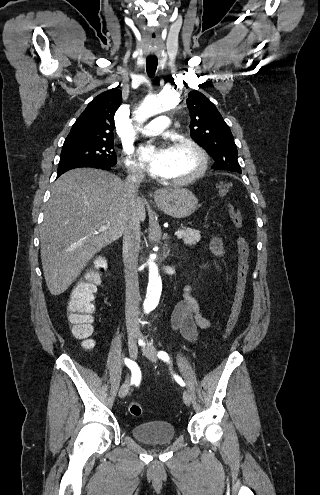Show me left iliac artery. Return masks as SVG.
I'll return each mask as SVG.
<instances>
[{"mask_svg": "<svg viewBox=\"0 0 320 495\" xmlns=\"http://www.w3.org/2000/svg\"><path fill=\"white\" fill-rule=\"evenodd\" d=\"M158 357L160 359H162L163 361L165 362H169L170 361V358H169V355L165 352V351H159L158 352ZM175 377V380L181 385V386H185V382L179 377V376H176L174 375Z\"/></svg>", "mask_w": 320, "mask_h": 495, "instance_id": "44dca946", "label": "left iliac artery"}]
</instances>
